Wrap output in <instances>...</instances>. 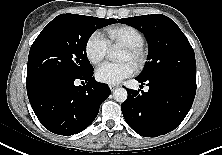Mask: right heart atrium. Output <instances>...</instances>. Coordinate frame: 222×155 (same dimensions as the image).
Instances as JSON below:
<instances>
[{
    "label": "right heart atrium",
    "instance_id": "d8ad5b80",
    "mask_svg": "<svg viewBox=\"0 0 222 155\" xmlns=\"http://www.w3.org/2000/svg\"><path fill=\"white\" fill-rule=\"evenodd\" d=\"M109 42L105 36L99 32H93L86 42V55L92 64L101 63L109 50Z\"/></svg>",
    "mask_w": 222,
    "mask_h": 155
}]
</instances>
